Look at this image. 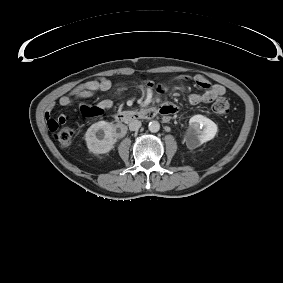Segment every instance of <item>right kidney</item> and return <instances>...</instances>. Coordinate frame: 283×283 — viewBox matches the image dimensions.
<instances>
[{
    "label": "right kidney",
    "mask_w": 283,
    "mask_h": 283,
    "mask_svg": "<svg viewBox=\"0 0 283 283\" xmlns=\"http://www.w3.org/2000/svg\"><path fill=\"white\" fill-rule=\"evenodd\" d=\"M119 139L113 124L98 121L92 124L85 133L87 148L94 154H105L111 151Z\"/></svg>",
    "instance_id": "ca27d5eb"
}]
</instances>
